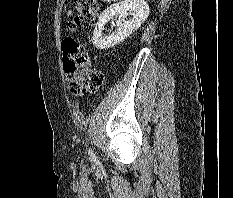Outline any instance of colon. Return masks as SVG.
Returning a JSON list of instances; mask_svg holds the SVG:
<instances>
[{
    "label": "colon",
    "mask_w": 233,
    "mask_h": 198,
    "mask_svg": "<svg viewBox=\"0 0 233 198\" xmlns=\"http://www.w3.org/2000/svg\"><path fill=\"white\" fill-rule=\"evenodd\" d=\"M77 15L67 23V30L74 32L77 28H87L96 19L99 6L96 0H74ZM63 65L73 93L96 91L103 82L101 72L91 66L85 48L74 38L67 37L62 42Z\"/></svg>",
    "instance_id": "1"
}]
</instances>
